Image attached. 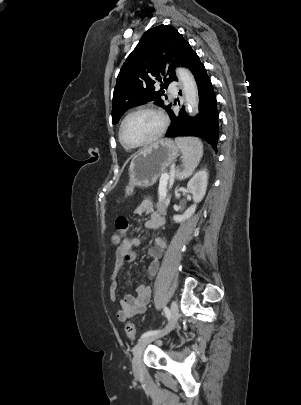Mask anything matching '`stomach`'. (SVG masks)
Segmentation results:
<instances>
[{"mask_svg": "<svg viewBox=\"0 0 301 405\" xmlns=\"http://www.w3.org/2000/svg\"><path fill=\"white\" fill-rule=\"evenodd\" d=\"M178 154L179 147L171 139H160L138 151L130 162L126 195H131L135 187L147 188L154 185Z\"/></svg>", "mask_w": 301, "mask_h": 405, "instance_id": "0dacf381", "label": "stomach"}]
</instances>
